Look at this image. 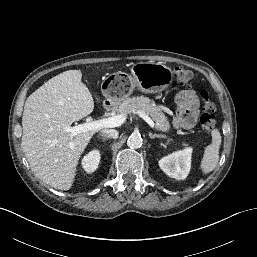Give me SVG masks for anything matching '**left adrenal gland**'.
<instances>
[{"instance_id": "a2214340", "label": "left adrenal gland", "mask_w": 257, "mask_h": 257, "mask_svg": "<svg viewBox=\"0 0 257 257\" xmlns=\"http://www.w3.org/2000/svg\"><path fill=\"white\" fill-rule=\"evenodd\" d=\"M149 137L151 139H154V138H166L165 135H162V134H151V133H149Z\"/></svg>"}]
</instances>
